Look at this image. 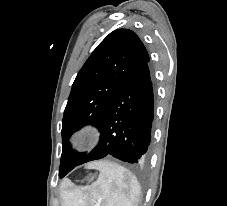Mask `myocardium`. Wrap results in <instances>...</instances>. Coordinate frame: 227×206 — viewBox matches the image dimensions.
Masks as SVG:
<instances>
[{
	"label": "myocardium",
	"mask_w": 227,
	"mask_h": 206,
	"mask_svg": "<svg viewBox=\"0 0 227 206\" xmlns=\"http://www.w3.org/2000/svg\"><path fill=\"white\" fill-rule=\"evenodd\" d=\"M101 136V128L96 124L90 123L82 126L73 134L71 143L76 151L87 152L99 143Z\"/></svg>",
	"instance_id": "f54148a6"
}]
</instances>
